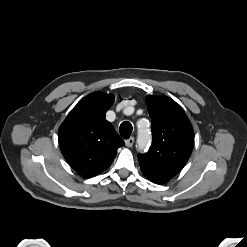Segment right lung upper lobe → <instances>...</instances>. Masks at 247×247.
<instances>
[{
    "mask_svg": "<svg viewBox=\"0 0 247 247\" xmlns=\"http://www.w3.org/2000/svg\"><path fill=\"white\" fill-rule=\"evenodd\" d=\"M114 101L112 94L94 92L68 114L58 131L59 145L69 165L91 178L106 170L125 143L105 119Z\"/></svg>",
    "mask_w": 247,
    "mask_h": 247,
    "instance_id": "cb5924a9",
    "label": "right lung upper lobe"
}]
</instances>
